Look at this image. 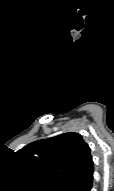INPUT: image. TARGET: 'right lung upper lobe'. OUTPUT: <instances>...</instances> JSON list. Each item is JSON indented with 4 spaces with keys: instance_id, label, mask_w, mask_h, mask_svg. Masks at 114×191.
Returning a JSON list of instances; mask_svg holds the SVG:
<instances>
[{
    "instance_id": "right-lung-upper-lobe-1",
    "label": "right lung upper lobe",
    "mask_w": 114,
    "mask_h": 191,
    "mask_svg": "<svg viewBox=\"0 0 114 191\" xmlns=\"http://www.w3.org/2000/svg\"><path fill=\"white\" fill-rule=\"evenodd\" d=\"M17 156L42 188H57L93 173L90 148L74 132L32 142L17 151Z\"/></svg>"
}]
</instances>
